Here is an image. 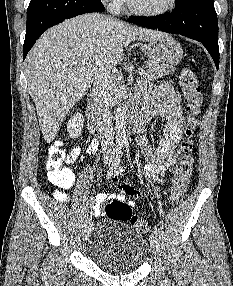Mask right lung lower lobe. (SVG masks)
<instances>
[{
    "label": "right lung lower lobe",
    "mask_w": 233,
    "mask_h": 286,
    "mask_svg": "<svg viewBox=\"0 0 233 286\" xmlns=\"http://www.w3.org/2000/svg\"><path fill=\"white\" fill-rule=\"evenodd\" d=\"M104 10L101 0H31L27 9L23 59L51 26L80 14Z\"/></svg>",
    "instance_id": "right-lung-lower-lobe-1"
}]
</instances>
